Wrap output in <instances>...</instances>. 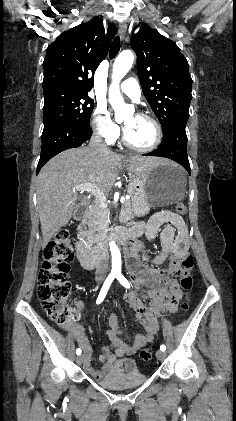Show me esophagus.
<instances>
[{
  "mask_svg": "<svg viewBox=\"0 0 236 421\" xmlns=\"http://www.w3.org/2000/svg\"><path fill=\"white\" fill-rule=\"evenodd\" d=\"M126 32H127V24L125 22L120 23L119 33H120L121 40H124Z\"/></svg>",
  "mask_w": 236,
  "mask_h": 421,
  "instance_id": "obj_1",
  "label": "esophagus"
}]
</instances>
